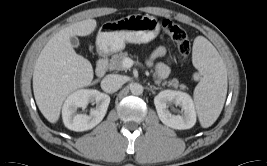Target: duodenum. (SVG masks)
Segmentation results:
<instances>
[{"instance_id":"410a0bca","label":"duodenum","mask_w":267,"mask_h":166,"mask_svg":"<svg viewBox=\"0 0 267 166\" xmlns=\"http://www.w3.org/2000/svg\"><path fill=\"white\" fill-rule=\"evenodd\" d=\"M108 62H109V57L106 53H101L97 65H96V74L99 77H102L106 74L107 69H108Z\"/></svg>"}]
</instances>
